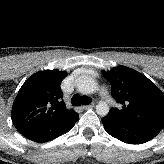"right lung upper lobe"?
Masks as SVG:
<instances>
[{"mask_svg": "<svg viewBox=\"0 0 164 164\" xmlns=\"http://www.w3.org/2000/svg\"><path fill=\"white\" fill-rule=\"evenodd\" d=\"M67 73L44 70L33 74L20 88L12 107V121L17 131L25 135L52 124L70 114L62 100L60 84Z\"/></svg>", "mask_w": 164, "mask_h": 164, "instance_id": "obj_1", "label": "right lung upper lobe"}]
</instances>
